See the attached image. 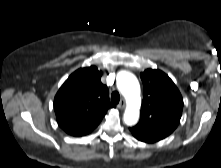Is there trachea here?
I'll return each mask as SVG.
<instances>
[{
  "mask_svg": "<svg viewBox=\"0 0 221 168\" xmlns=\"http://www.w3.org/2000/svg\"><path fill=\"white\" fill-rule=\"evenodd\" d=\"M111 101L113 103H118L120 101V95L117 91H114L112 94H111Z\"/></svg>",
  "mask_w": 221,
  "mask_h": 168,
  "instance_id": "1",
  "label": "trachea"
}]
</instances>
